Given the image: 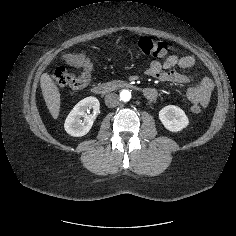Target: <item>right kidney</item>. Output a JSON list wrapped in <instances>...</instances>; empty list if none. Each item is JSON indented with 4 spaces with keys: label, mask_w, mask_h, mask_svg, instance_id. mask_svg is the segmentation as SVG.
<instances>
[{
    "label": "right kidney",
    "mask_w": 236,
    "mask_h": 236,
    "mask_svg": "<svg viewBox=\"0 0 236 236\" xmlns=\"http://www.w3.org/2000/svg\"><path fill=\"white\" fill-rule=\"evenodd\" d=\"M100 103L95 97H87L78 102L67 116L64 128L74 137L86 135L99 113ZM93 109V114L87 115L86 111Z\"/></svg>",
    "instance_id": "right-kidney-1"
}]
</instances>
